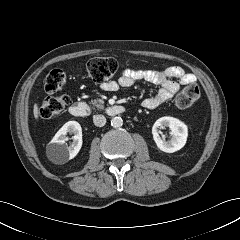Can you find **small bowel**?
Instances as JSON below:
<instances>
[{
    "instance_id": "obj_1",
    "label": "small bowel",
    "mask_w": 240,
    "mask_h": 240,
    "mask_svg": "<svg viewBox=\"0 0 240 240\" xmlns=\"http://www.w3.org/2000/svg\"><path fill=\"white\" fill-rule=\"evenodd\" d=\"M196 76L185 71L182 67L171 66L163 70L154 69H126L116 81L105 82L101 85L102 90L113 92L119 88H128L137 81H145L159 87L158 92L142 102L145 109H155L169 101L181 86L195 84Z\"/></svg>"
}]
</instances>
